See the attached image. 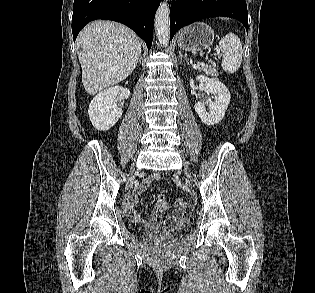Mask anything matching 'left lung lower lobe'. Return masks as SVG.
I'll list each match as a JSON object with an SVG mask.
<instances>
[{"instance_id":"left-lung-lower-lobe-1","label":"left lung lower lobe","mask_w":315,"mask_h":293,"mask_svg":"<svg viewBox=\"0 0 315 293\" xmlns=\"http://www.w3.org/2000/svg\"><path fill=\"white\" fill-rule=\"evenodd\" d=\"M218 16L240 21L248 33L245 0H173L170 9V39L180 28L188 24Z\"/></svg>"}]
</instances>
